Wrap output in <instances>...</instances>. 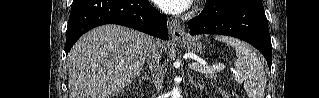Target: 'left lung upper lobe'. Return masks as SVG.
I'll list each match as a JSON object with an SVG mask.
<instances>
[{
	"label": "left lung upper lobe",
	"mask_w": 319,
	"mask_h": 98,
	"mask_svg": "<svg viewBox=\"0 0 319 98\" xmlns=\"http://www.w3.org/2000/svg\"><path fill=\"white\" fill-rule=\"evenodd\" d=\"M207 1H217V0H207ZM221 1H224V0H221Z\"/></svg>",
	"instance_id": "5c2ea615"
}]
</instances>
